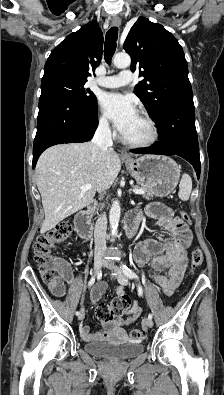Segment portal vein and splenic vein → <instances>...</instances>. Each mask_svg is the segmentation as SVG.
<instances>
[{
    "label": "portal vein and splenic vein",
    "mask_w": 224,
    "mask_h": 395,
    "mask_svg": "<svg viewBox=\"0 0 224 395\" xmlns=\"http://www.w3.org/2000/svg\"><path fill=\"white\" fill-rule=\"evenodd\" d=\"M81 189H82L83 191L90 190V189H92V185H91V184H87V185H85V186H82ZM132 191H133V193H135V194H144V193H145V191L142 190V189H133Z\"/></svg>",
    "instance_id": "portal-vein-and-splenic-vein-1"
}]
</instances>
